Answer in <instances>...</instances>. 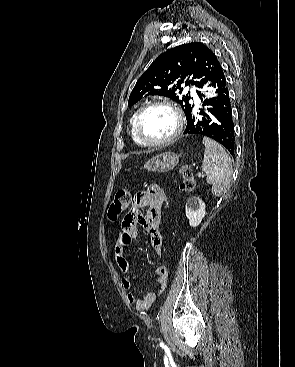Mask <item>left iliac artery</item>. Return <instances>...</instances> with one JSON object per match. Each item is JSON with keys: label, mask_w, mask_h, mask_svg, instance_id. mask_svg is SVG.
Wrapping results in <instances>:
<instances>
[{"label": "left iliac artery", "mask_w": 295, "mask_h": 367, "mask_svg": "<svg viewBox=\"0 0 295 367\" xmlns=\"http://www.w3.org/2000/svg\"><path fill=\"white\" fill-rule=\"evenodd\" d=\"M160 346H161V347H165V345H164L163 343H160Z\"/></svg>", "instance_id": "44dca946"}]
</instances>
